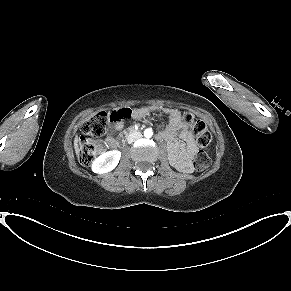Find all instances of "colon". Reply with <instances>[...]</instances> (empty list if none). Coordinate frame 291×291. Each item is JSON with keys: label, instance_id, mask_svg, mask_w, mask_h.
Wrapping results in <instances>:
<instances>
[{"label": "colon", "instance_id": "colon-1", "mask_svg": "<svg viewBox=\"0 0 291 291\" xmlns=\"http://www.w3.org/2000/svg\"><path fill=\"white\" fill-rule=\"evenodd\" d=\"M132 115L129 108H122L112 112H98L93 115L82 126V134L80 136L79 160L84 166L92 164L94 159L104 151L105 146L99 139L107 128L109 122L126 120ZM183 120L187 126L197 136L199 151L194 160V168L197 171H203L210 165V156L208 150L212 144V135L208 131L204 121L196 119L191 113H184Z\"/></svg>", "mask_w": 291, "mask_h": 291}]
</instances>
